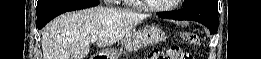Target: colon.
Listing matches in <instances>:
<instances>
[{
    "mask_svg": "<svg viewBox=\"0 0 261 59\" xmlns=\"http://www.w3.org/2000/svg\"><path fill=\"white\" fill-rule=\"evenodd\" d=\"M183 39L186 43L194 46L200 44V39L194 33L185 32L183 34ZM152 59H192L193 57L189 54L183 53L179 47L172 46L166 49L164 52L156 51L151 55Z\"/></svg>",
    "mask_w": 261,
    "mask_h": 59,
    "instance_id": "colon-1",
    "label": "colon"
}]
</instances>
